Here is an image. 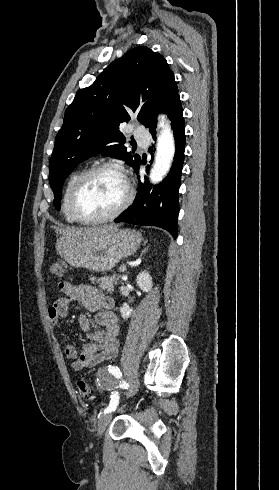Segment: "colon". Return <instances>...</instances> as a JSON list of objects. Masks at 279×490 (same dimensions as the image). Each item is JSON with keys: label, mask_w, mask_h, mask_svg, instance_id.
<instances>
[{"label": "colon", "mask_w": 279, "mask_h": 490, "mask_svg": "<svg viewBox=\"0 0 279 490\" xmlns=\"http://www.w3.org/2000/svg\"><path fill=\"white\" fill-rule=\"evenodd\" d=\"M48 272L57 277L63 278L66 273V264L62 260L53 261L48 266ZM77 388L80 397L86 401L94 400V390L92 387L83 379L77 381Z\"/></svg>", "instance_id": "obj_1"}]
</instances>
